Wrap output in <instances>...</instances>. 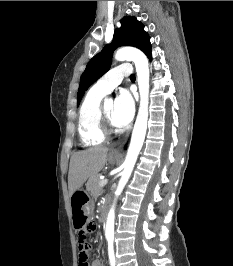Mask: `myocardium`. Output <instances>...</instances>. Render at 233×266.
<instances>
[{"label":"myocardium","mask_w":233,"mask_h":266,"mask_svg":"<svg viewBox=\"0 0 233 266\" xmlns=\"http://www.w3.org/2000/svg\"><path fill=\"white\" fill-rule=\"evenodd\" d=\"M105 102L106 100L100 103L99 111H98V120H99L100 130L102 134L106 137L115 132V127H114L113 122L108 118L106 114Z\"/></svg>","instance_id":"f54148a6"}]
</instances>
